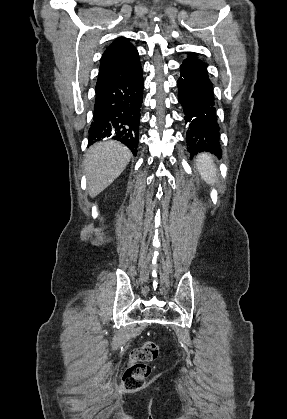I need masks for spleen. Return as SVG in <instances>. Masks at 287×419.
I'll return each mask as SVG.
<instances>
[{"label":"spleen","instance_id":"obj_1","mask_svg":"<svg viewBox=\"0 0 287 419\" xmlns=\"http://www.w3.org/2000/svg\"><path fill=\"white\" fill-rule=\"evenodd\" d=\"M196 166L201 177L210 184H214L217 176V168L213 162L212 156L208 153H202L197 156Z\"/></svg>","mask_w":287,"mask_h":419}]
</instances>
